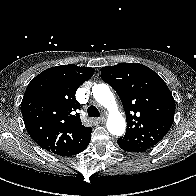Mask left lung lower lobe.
<instances>
[{"label": "left lung lower lobe", "instance_id": "left-lung-lower-lobe-1", "mask_svg": "<svg viewBox=\"0 0 196 196\" xmlns=\"http://www.w3.org/2000/svg\"><path fill=\"white\" fill-rule=\"evenodd\" d=\"M118 145L127 152H143L144 150H141L131 144H129L127 141L118 139Z\"/></svg>", "mask_w": 196, "mask_h": 196}]
</instances>
